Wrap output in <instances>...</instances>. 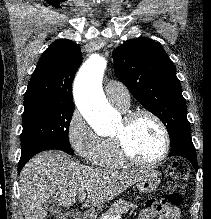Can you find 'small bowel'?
I'll use <instances>...</instances> for the list:
<instances>
[{
	"label": "small bowel",
	"mask_w": 211,
	"mask_h": 219,
	"mask_svg": "<svg viewBox=\"0 0 211 219\" xmlns=\"http://www.w3.org/2000/svg\"><path fill=\"white\" fill-rule=\"evenodd\" d=\"M138 219H180V215L177 209L151 199L146 202Z\"/></svg>",
	"instance_id": "1"
}]
</instances>
